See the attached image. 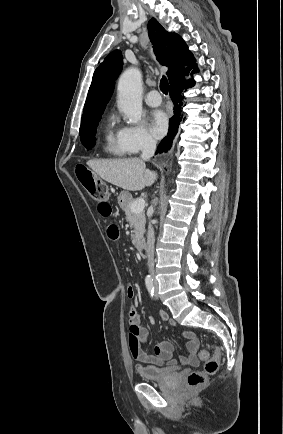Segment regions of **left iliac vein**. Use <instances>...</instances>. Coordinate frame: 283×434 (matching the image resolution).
Listing matches in <instances>:
<instances>
[{
	"label": "left iliac vein",
	"instance_id": "1",
	"mask_svg": "<svg viewBox=\"0 0 283 434\" xmlns=\"http://www.w3.org/2000/svg\"><path fill=\"white\" fill-rule=\"evenodd\" d=\"M154 289H155V296L158 298V283L157 281H154Z\"/></svg>",
	"mask_w": 283,
	"mask_h": 434
}]
</instances>
